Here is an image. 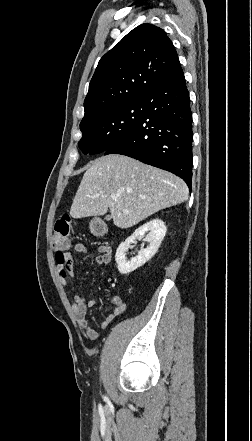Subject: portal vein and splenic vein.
Instances as JSON below:
<instances>
[{
	"mask_svg": "<svg viewBox=\"0 0 252 441\" xmlns=\"http://www.w3.org/2000/svg\"><path fill=\"white\" fill-rule=\"evenodd\" d=\"M111 198H112V199H116L117 196H115V195H111Z\"/></svg>",
	"mask_w": 252,
	"mask_h": 441,
	"instance_id": "obj_1",
	"label": "portal vein and splenic vein"
}]
</instances>
